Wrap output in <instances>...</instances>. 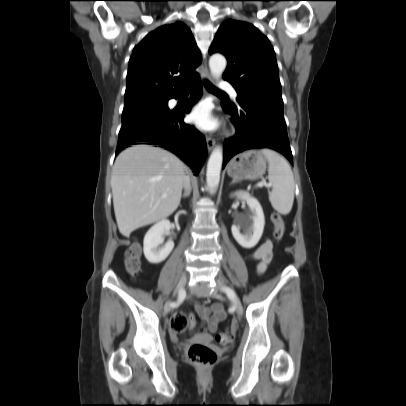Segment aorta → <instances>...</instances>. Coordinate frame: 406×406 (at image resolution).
<instances>
[{
	"label": "aorta",
	"instance_id": "1",
	"mask_svg": "<svg viewBox=\"0 0 406 406\" xmlns=\"http://www.w3.org/2000/svg\"><path fill=\"white\" fill-rule=\"evenodd\" d=\"M226 64V59L221 54H214L210 57L209 67L214 78L218 79L222 76ZM222 162L223 151L220 146H217L210 155L206 171L207 187L212 194L216 192L219 185Z\"/></svg>",
	"mask_w": 406,
	"mask_h": 406
}]
</instances>
